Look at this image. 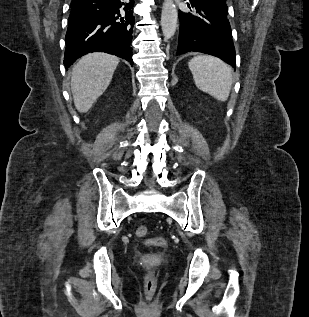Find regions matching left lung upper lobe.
I'll return each mask as SVG.
<instances>
[{
	"label": "left lung upper lobe",
	"instance_id": "left-lung-upper-lobe-1",
	"mask_svg": "<svg viewBox=\"0 0 309 317\" xmlns=\"http://www.w3.org/2000/svg\"><path fill=\"white\" fill-rule=\"evenodd\" d=\"M190 2L200 5H210L215 7L227 8L226 0H190Z\"/></svg>",
	"mask_w": 309,
	"mask_h": 317
}]
</instances>
